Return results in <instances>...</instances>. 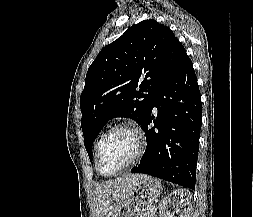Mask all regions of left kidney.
I'll list each match as a JSON object with an SVG mask.
<instances>
[{
    "label": "left kidney",
    "instance_id": "left-kidney-1",
    "mask_svg": "<svg viewBox=\"0 0 253 217\" xmlns=\"http://www.w3.org/2000/svg\"><path fill=\"white\" fill-rule=\"evenodd\" d=\"M191 204L190 193L185 189H178L173 191L171 194L163 198L160 203L159 213L160 217H187L188 208ZM176 205L177 208L173 214L170 213L169 207Z\"/></svg>",
    "mask_w": 253,
    "mask_h": 217
}]
</instances>
